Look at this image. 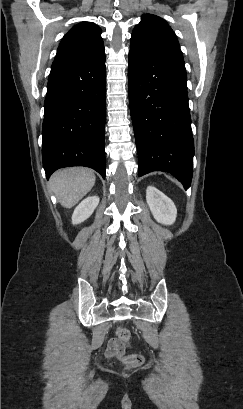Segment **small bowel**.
Here are the masks:
<instances>
[{
  "label": "small bowel",
  "mask_w": 243,
  "mask_h": 409,
  "mask_svg": "<svg viewBox=\"0 0 243 409\" xmlns=\"http://www.w3.org/2000/svg\"><path fill=\"white\" fill-rule=\"evenodd\" d=\"M123 348L117 338H110L105 349V356L109 359L119 360L122 357Z\"/></svg>",
  "instance_id": "small-bowel-1"
}]
</instances>
